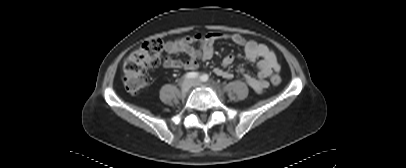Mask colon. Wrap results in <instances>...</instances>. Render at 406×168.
<instances>
[{"label":"colon","instance_id":"1","mask_svg":"<svg viewBox=\"0 0 406 168\" xmlns=\"http://www.w3.org/2000/svg\"><path fill=\"white\" fill-rule=\"evenodd\" d=\"M163 48L164 44L161 39L151 38L143 42L124 59L121 78L128 93L137 94L146 87L148 69L160 65ZM271 83L279 85L281 83L280 75L273 73Z\"/></svg>","mask_w":406,"mask_h":168}]
</instances>
